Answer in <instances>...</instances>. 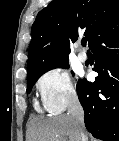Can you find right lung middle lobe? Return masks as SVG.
Wrapping results in <instances>:
<instances>
[{
    "label": "right lung middle lobe",
    "mask_w": 119,
    "mask_h": 141,
    "mask_svg": "<svg viewBox=\"0 0 119 141\" xmlns=\"http://www.w3.org/2000/svg\"><path fill=\"white\" fill-rule=\"evenodd\" d=\"M69 65L68 64H64L62 66V68H67ZM57 68V67H56ZM51 70V69H50ZM49 70H45V71H40V72H36L30 75H27V93H30L33 85L35 84V82L38 80V78L43 75L45 72H47Z\"/></svg>",
    "instance_id": "obj_1"
}]
</instances>
